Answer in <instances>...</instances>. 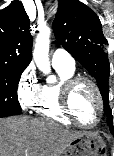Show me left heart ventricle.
I'll return each instance as SVG.
<instances>
[{
	"label": "left heart ventricle",
	"instance_id": "obj_1",
	"mask_svg": "<svg viewBox=\"0 0 114 156\" xmlns=\"http://www.w3.org/2000/svg\"><path fill=\"white\" fill-rule=\"evenodd\" d=\"M72 108L84 124H91L98 112V102L93 88L87 83L79 84L71 98Z\"/></svg>",
	"mask_w": 114,
	"mask_h": 156
}]
</instances>
